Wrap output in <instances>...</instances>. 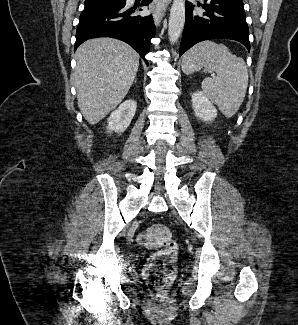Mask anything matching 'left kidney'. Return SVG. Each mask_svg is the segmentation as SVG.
<instances>
[{"instance_id": "left-kidney-1", "label": "left kidney", "mask_w": 298, "mask_h": 325, "mask_svg": "<svg viewBox=\"0 0 298 325\" xmlns=\"http://www.w3.org/2000/svg\"><path fill=\"white\" fill-rule=\"evenodd\" d=\"M192 108L202 120H214L218 114L216 106L207 98L203 90H196L191 96Z\"/></svg>"}]
</instances>
